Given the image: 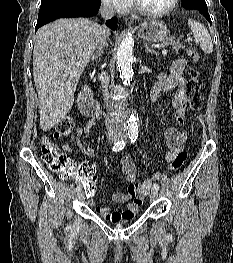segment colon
Here are the masks:
<instances>
[{
  "label": "colon",
  "instance_id": "5ec220e1",
  "mask_svg": "<svg viewBox=\"0 0 233 263\" xmlns=\"http://www.w3.org/2000/svg\"><path fill=\"white\" fill-rule=\"evenodd\" d=\"M188 56L197 62L200 58L199 53L193 49H187ZM190 81L187 90L190 98V108L199 110L202 107V98L200 94L199 76L200 72L196 69L189 71ZM73 127V119L69 116L62 118L54 127L53 138L68 135ZM42 159L47 167L55 173L61 174V180H75V183H84V188L79 191L80 195H94L97 172L96 171H73L74 165L68 156L61 152L58 145L50 137H44L41 143ZM187 155L181 152L170 162L168 170H178L186 161ZM72 174V175H71ZM160 176L159 173H152L149 180L152 182ZM83 187L82 185L80 186Z\"/></svg>",
  "mask_w": 233,
  "mask_h": 263
}]
</instances>
